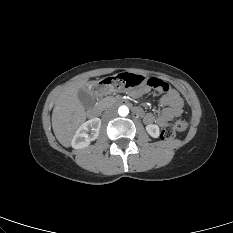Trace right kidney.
Masks as SVG:
<instances>
[{
  "mask_svg": "<svg viewBox=\"0 0 233 233\" xmlns=\"http://www.w3.org/2000/svg\"><path fill=\"white\" fill-rule=\"evenodd\" d=\"M101 127V119L93 118L83 123L74 135L71 146L75 149H82L89 146L91 141L97 139Z\"/></svg>",
  "mask_w": 233,
  "mask_h": 233,
  "instance_id": "1",
  "label": "right kidney"
}]
</instances>
